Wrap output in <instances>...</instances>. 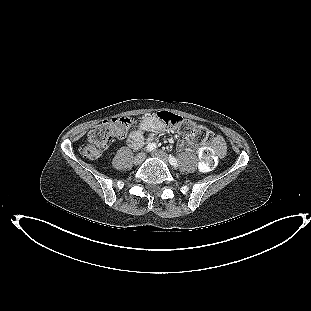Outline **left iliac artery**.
I'll use <instances>...</instances> for the list:
<instances>
[{"label": "left iliac artery", "instance_id": "left-iliac-artery-1", "mask_svg": "<svg viewBox=\"0 0 311 311\" xmlns=\"http://www.w3.org/2000/svg\"><path fill=\"white\" fill-rule=\"evenodd\" d=\"M169 162L171 165H173L174 167H178V162L176 160L175 157H173L172 155H169Z\"/></svg>", "mask_w": 311, "mask_h": 311}]
</instances>
